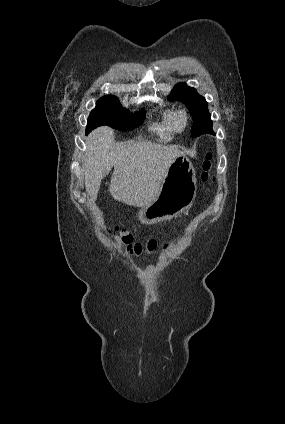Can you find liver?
<instances>
[{
    "label": "liver",
    "instance_id": "1",
    "mask_svg": "<svg viewBox=\"0 0 285 424\" xmlns=\"http://www.w3.org/2000/svg\"><path fill=\"white\" fill-rule=\"evenodd\" d=\"M85 144L82 170L90 201L96 200L101 180L114 167L110 194L119 202L137 207L156 199L169 166L183 153L176 145L134 140L116 143L109 127L92 131Z\"/></svg>",
    "mask_w": 285,
    "mask_h": 424
}]
</instances>
